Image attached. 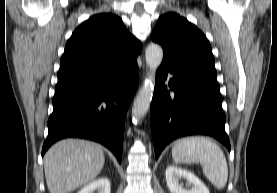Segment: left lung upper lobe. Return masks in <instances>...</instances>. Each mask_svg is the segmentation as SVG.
Masks as SVG:
<instances>
[{
    "instance_id": "obj_1",
    "label": "left lung upper lobe",
    "mask_w": 277,
    "mask_h": 193,
    "mask_svg": "<svg viewBox=\"0 0 277 193\" xmlns=\"http://www.w3.org/2000/svg\"><path fill=\"white\" fill-rule=\"evenodd\" d=\"M152 40L163 47V65L183 71L216 74L214 57L206 36L178 14L162 15L153 30Z\"/></svg>"
}]
</instances>
